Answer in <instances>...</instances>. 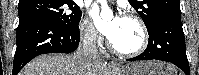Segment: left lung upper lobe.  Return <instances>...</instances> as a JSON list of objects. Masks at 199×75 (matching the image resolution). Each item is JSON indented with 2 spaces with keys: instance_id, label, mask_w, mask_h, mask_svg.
<instances>
[{
  "instance_id": "obj_1",
  "label": "left lung upper lobe",
  "mask_w": 199,
  "mask_h": 75,
  "mask_svg": "<svg viewBox=\"0 0 199 75\" xmlns=\"http://www.w3.org/2000/svg\"><path fill=\"white\" fill-rule=\"evenodd\" d=\"M144 21L147 30L153 28L155 22L164 14L180 11L179 0H128Z\"/></svg>"
}]
</instances>
